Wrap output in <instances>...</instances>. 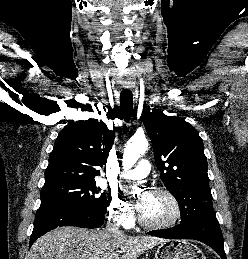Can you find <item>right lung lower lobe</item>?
<instances>
[{"label":"right lung lower lobe","mask_w":248,"mask_h":259,"mask_svg":"<svg viewBox=\"0 0 248 259\" xmlns=\"http://www.w3.org/2000/svg\"><path fill=\"white\" fill-rule=\"evenodd\" d=\"M104 222V215H92L76 207L62 205H41L37 210L30 247L34 241L52 229L61 226L98 228Z\"/></svg>","instance_id":"98d812e1"}]
</instances>
